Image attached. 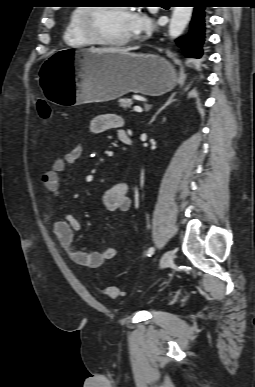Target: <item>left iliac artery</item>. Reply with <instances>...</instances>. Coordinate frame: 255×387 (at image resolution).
Instances as JSON below:
<instances>
[{"mask_svg":"<svg viewBox=\"0 0 255 387\" xmlns=\"http://www.w3.org/2000/svg\"><path fill=\"white\" fill-rule=\"evenodd\" d=\"M153 253H154V248L151 247V248H149L148 251H147V256H151Z\"/></svg>","mask_w":255,"mask_h":387,"instance_id":"1","label":"left iliac artery"}]
</instances>
